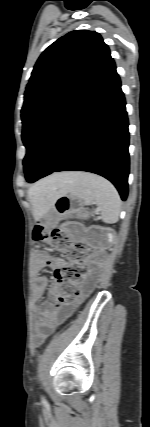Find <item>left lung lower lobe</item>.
Masks as SVG:
<instances>
[{
  "mask_svg": "<svg viewBox=\"0 0 150 427\" xmlns=\"http://www.w3.org/2000/svg\"><path fill=\"white\" fill-rule=\"evenodd\" d=\"M128 145L125 99L112 61L36 135L25 178L33 183L55 171L92 172L111 181L126 200Z\"/></svg>",
  "mask_w": 150,
  "mask_h": 427,
  "instance_id": "left-lung-lower-lobe-1",
  "label": "left lung lower lobe"
}]
</instances>
